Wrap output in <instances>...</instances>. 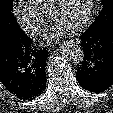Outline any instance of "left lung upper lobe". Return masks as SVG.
<instances>
[{
	"label": "left lung upper lobe",
	"mask_w": 113,
	"mask_h": 113,
	"mask_svg": "<svg viewBox=\"0 0 113 113\" xmlns=\"http://www.w3.org/2000/svg\"><path fill=\"white\" fill-rule=\"evenodd\" d=\"M103 9L99 16L88 28L94 30L100 28L107 23H113V0H102Z\"/></svg>",
	"instance_id": "left-lung-upper-lobe-1"
}]
</instances>
